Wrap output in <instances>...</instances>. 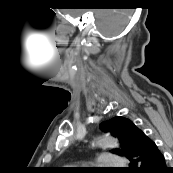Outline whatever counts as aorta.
<instances>
[{
    "instance_id": "aorta-1",
    "label": "aorta",
    "mask_w": 173,
    "mask_h": 173,
    "mask_svg": "<svg viewBox=\"0 0 173 173\" xmlns=\"http://www.w3.org/2000/svg\"><path fill=\"white\" fill-rule=\"evenodd\" d=\"M95 146L101 147V148H117L119 147L118 140L109 134H104L101 136H98L95 139Z\"/></svg>"
}]
</instances>
